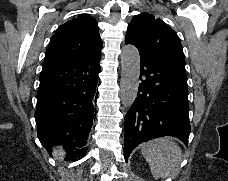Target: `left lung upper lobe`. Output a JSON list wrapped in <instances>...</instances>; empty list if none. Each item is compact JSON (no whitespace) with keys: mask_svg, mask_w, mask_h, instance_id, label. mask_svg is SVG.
<instances>
[{"mask_svg":"<svg viewBox=\"0 0 228 181\" xmlns=\"http://www.w3.org/2000/svg\"><path fill=\"white\" fill-rule=\"evenodd\" d=\"M125 43L135 45L140 53L185 66L182 45L176 32L152 14L142 13L132 19Z\"/></svg>","mask_w":228,"mask_h":181,"instance_id":"5c2ea615","label":"left lung upper lobe"}]
</instances>
